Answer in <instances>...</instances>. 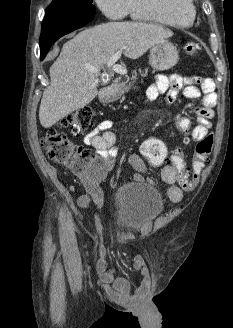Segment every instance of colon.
<instances>
[{
	"mask_svg": "<svg viewBox=\"0 0 233 328\" xmlns=\"http://www.w3.org/2000/svg\"><path fill=\"white\" fill-rule=\"evenodd\" d=\"M199 50L200 45L196 42H188L185 45V51L190 56L196 55ZM93 116L91 108H81L62 119L54 127L47 129L41 137V145L47 156L52 161L68 167L84 180L99 177L102 166L93 150L71 142L61 129L68 127L72 134H79L91 127ZM176 125L186 138L191 134L190 122L187 118L177 117ZM212 148L213 136L208 134L197 142L190 167L186 166L185 158L180 151L168 157L167 147L156 138L146 139L141 145V153L154 166L168 161L167 163L178 174L181 188L190 191L196 186L202 170L210 163Z\"/></svg>",
	"mask_w": 233,
	"mask_h": 328,
	"instance_id": "obj_1",
	"label": "colon"
}]
</instances>
